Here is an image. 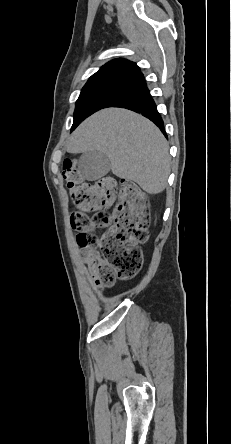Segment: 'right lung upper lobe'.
<instances>
[{"mask_svg":"<svg viewBox=\"0 0 231 444\" xmlns=\"http://www.w3.org/2000/svg\"><path fill=\"white\" fill-rule=\"evenodd\" d=\"M101 85H114L126 90L127 93L146 85L139 67L125 59H115L93 74L83 89Z\"/></svg>","mask_w":231,"mask_h":444,"instance_id":"cb5924a9","label":"right lung upper lobe"}]
</instances>
